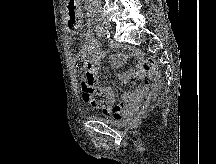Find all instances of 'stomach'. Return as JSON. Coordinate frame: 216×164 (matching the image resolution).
Instances as JSON below:
<instances>
[{
    "label": "stomach",
    "mask_w": 216,
    "mask_h": 164,
    "mask_svg": "<svg viewBox=\"0 0 216 164\" xmlns=\"http://www.w3.org/2000/svg\"><path fill=\"white\" fill-rule=\"evenodd\" d=\"M66 14H79V9H66Z\"/></svg>",
    "instance_id": "obj_1"
}]
</instances>
